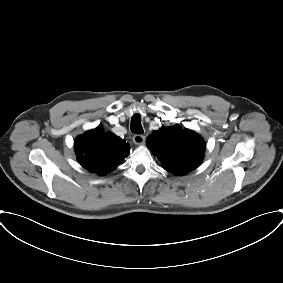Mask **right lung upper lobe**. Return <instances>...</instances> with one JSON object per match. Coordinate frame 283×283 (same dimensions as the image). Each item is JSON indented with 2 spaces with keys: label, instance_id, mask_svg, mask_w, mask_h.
I'll list each match as a JSON object with an SVG mask.
<instances>
[{
  "label": "right lung upper lobe",
  "instance_id": "obj_1",
  "mask_svg": "<svg viewBox=\"0 0 283 283\" xmlns=\"http://www.w3.org/2000/svg\"><path fill=\"white\" fill-rule=\"evenodd\" d=\"M74 145L79 163L99 175L116 169L130 150L125 140L100 127L79 136Z\"/></svg>",
  "mask_w": 283,
  "mask_h": 283
}]
</instances>
